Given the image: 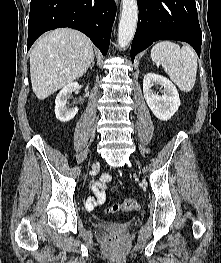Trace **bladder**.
<instances>
[{
	"label": "bladder",
	"instance_id": "bladder-1",
	"mask_svg": "<svg viewBox=\"0 0 221 263\" xmlns=\"http://www.w3.org/2000/svg\"><path fill=\"white\" fill-rule=\"evenodd\" d=\"M94 227L96 228H108L114 225L112 222L104 221V220H95L93 222Z\"/></svg>",
	"mask_w": 221,
	"mask_h": 263
}]
</instances>
